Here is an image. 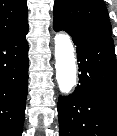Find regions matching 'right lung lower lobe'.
Masks as SVG:
<instances>
[{
  "label": "right lung lower lobe",
  "mask_w": 117,
  "mask_h": 136,
  "mask_svg": "<svg viewBox=\"0 0 117 136\" xmlns=\"http://www.w3.org/2000/svg\"><path fill=\"white\" fill-rule=\"evenodd\" d=\"M28 26L0 39V136H21L28 84Z\"/></svg>",
  "instance_id": "right-lung-lower-lobe-1"
}]
</instances>
